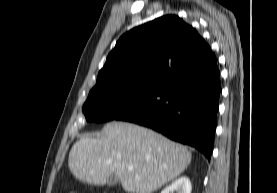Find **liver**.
<instances>
[{
  "mask_svg": "<svg viewBox=\"0 0 277 193\" xmlns=\"http://www.w3.org/2000/svg\"><path fill=\"white\" fill-rule=\"evenodd\" d=\"M191 159L185 146L151 129L112 121L99 136L82 137L73 145L68 166L89 184L104 185L114 175L129 193H152L176 179Z\"/></svg>",
  "mask_w": 277,
  "mask_h": 193,
  "instance_id": "6515ba94",
  "label": "liver"
}]
</instances>
